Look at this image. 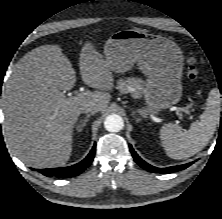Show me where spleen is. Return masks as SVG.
Here are the masks:
<instances>
[{"mask_svg":"<svg viewBox=\"0 0 222 219\" xmlns=\"http://www.w3.org/2000/svg\"><path fill=\"white\" fill-rule=\"evenodd\" d=\"M221 98L217 88L209 93L206 109L189 130L177 124H165L160 139L167 155L173 159H185L201 151L212 138L220 121Z\"/></svg>","mask_w":222,"mask_h":219,"instance_id":"spleen-1","label":"spleen"}]
</instances>
